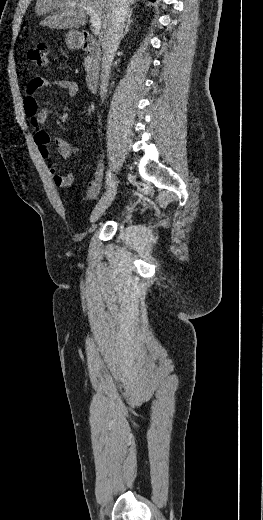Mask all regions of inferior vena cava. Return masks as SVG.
Returning a JSON list of instances; mask_svg holds the SVG:
<instances>
[{
  "mask_svg": "<svg viewBox=\"0 0 263 520\" xmlns=\"http://www.w3.org/2000/svg\"><path fill=\"white\" fill-rule=\"evenodd\" d=\"M130 11V0H113L111 20L103 39V57L100 75V96L102 101L107 93L111 66L125 28Z\"/></svg>",
  "mask_w": 263,
  "mask_h": 520,
  "instance_id": "obj_1",
  "label": "inferior vena cava"
}]
</instances>
